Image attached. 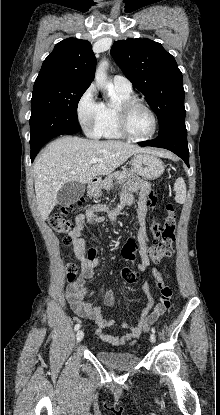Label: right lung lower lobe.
Segmentation results:
<instances>
[{"label":"right lung lower lobe","instance_id":"right-lung-lower-lobe-1","mask_svg":"<svg viewBox=\"0 0 220 415\" xmlns=\"http://www.w3.org/2000/svg\"><path fill=\"white\" fill-rule=\"evenodd\" d=\"M78 132V131H77ZM76 132H73L72 134H75ZM40 148L35 149V150H31V162H33L35 156L37 155V153L39 152Z\"/></svg>","mask_w":220,"mask_h":415}]
</instances>
